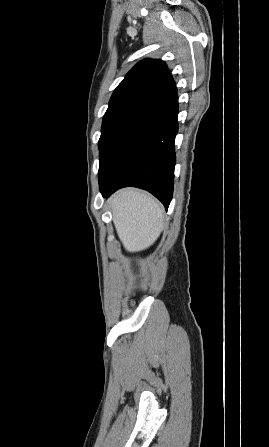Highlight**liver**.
Segmentation results:
<instances>
[{
  "instance_id": "obj_1",
  "label": "liver",
  "mask_w": 269,
  "mask_h": 447,
  "mask_svg": "<svg viewBox=\"0 0 269 447\" xmlns=\"http://www.w3.org/2000/svg\"><path fill=\"white\" fill-rule=\"evenodd\" d=\"M110 204L117 233L128 251L146 249L159 237L164 212L152 196L127 188L117 192Z\"/></svg>"
}]
</instances>
